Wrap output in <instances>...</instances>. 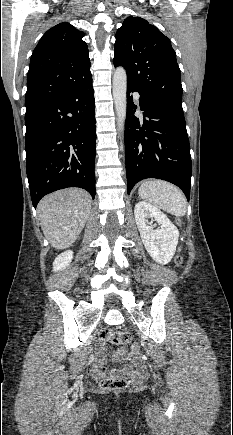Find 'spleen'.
I'll use <instances>...</instances> for the list:
<instances>
[{
    "instance_id": "1",
    "label": "spleen",
    "mask_w": 233,
    "mask_h": 435,
    "mask_svg": "<svg viewBox=\"0 0 233 435\" xmlns=\"http://www.w3.org/2000/svg\"><path fill=\"white\" fill-rule=\"evenodd\" d=\"M139 196L175 216L186 214V198L179 188L164 180H147L138 190Z\"/></svg>"
}]
</instances>
